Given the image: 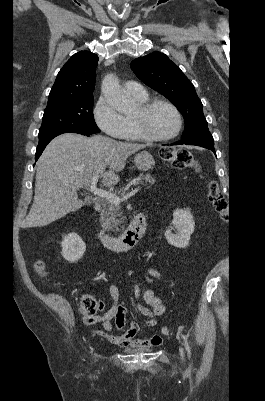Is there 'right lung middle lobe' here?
Listing matches in <instances>:
<instances>
[{
  "instance_id": "right-lung-middle-lobe-1",
  "label": "right lung middle lobe",
  "mask_w": 265,
  "mask_h": 401,
  "mask_svg": "<svg viewBox=\"0 0 265 401\" xmlns=\"http://www.w3.org/2000/svg\"><path fill=\"white\" fill-rule=\"evenodd\" d=\"M93 95L68 99L52 105L44 110L39 140L54 132H74L79 134L99 133L93 116Z\"/></svg>"
}]
</instances>
